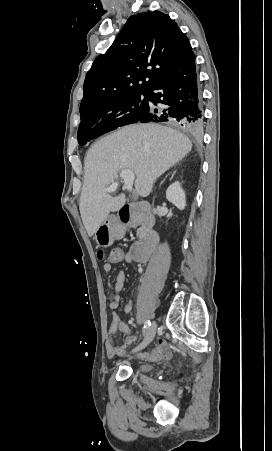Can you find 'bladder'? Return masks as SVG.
<instances>
[{
    "label": "bladder",
    "instance_id": "1",
    "mask_svg": "<svg viewBox=\"0 0 272 451\" xmlns=\"http://www.w3.org/2000/svg\"><path fill=\"white\" fill-rule=\"evenodd\" d=\"M153 365L150 362H137L135 370L138 374H149L152 372Z\"/></svg>",
    "mask_w": 272,
    "mask_h": 451
}]
</instances>
